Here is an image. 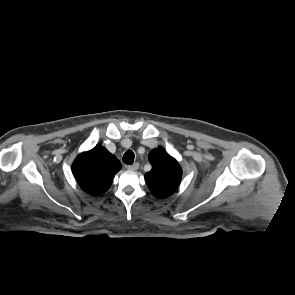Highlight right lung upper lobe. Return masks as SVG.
<instances>
[{"label": "right lung upper lobe", "mask_w": 295, "mask_h": 295, "mask_svg": "<svg viewBox=\"0 0 295 295\" xmlns=\"http://www.w3.org/2000/svg\"><path fill=\"white\" fill-rule=\"evenodd\" d=\"M120 169V161L100 145L79 154L72 164L80 187L93 196L106 192Z\"/></svg>", "instance_id": "cb5924a9"}]
</instances>
